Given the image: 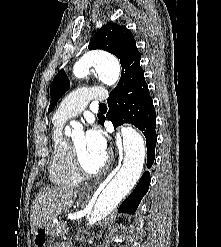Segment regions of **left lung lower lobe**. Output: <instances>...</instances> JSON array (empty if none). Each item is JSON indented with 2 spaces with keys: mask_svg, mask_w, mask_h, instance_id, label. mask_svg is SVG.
<instances>
[{
  "mask_svg": "<svg viewBox=\"0 0 221 247\" xmlns=\"http://www.w3.org/2000/svg\"><path fill=\"white\" fill-rule=\"evenodd\" d=\"M109 112L106 117L114 127L131 123L139 128L146 138L147 145V167L150 168L155 159L156 146V116L152 98L149 96V90H144L137 94L122 97L119 94L110 93L107 100ZM101 123L105 117L100 118ZM150 185V174L145 172L141 177L134 191L124 200L118 211L127 214H134L141 199L147 193Z\"/></svg>",
  "mask_w": 221,
  "mask_h": 247,
  "instance_id": "1",
  "label": "left lung lower lobe"
}]
</instances>
